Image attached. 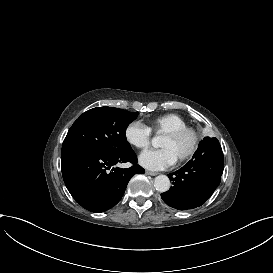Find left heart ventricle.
Instances as JSON below:
<instances>
[{
  "mask_svg": "<svg viewBox=\"0 0 273 273\" xmlns=\"http://www.w3.org/2000/svg\"><path fill=\"white\" fill-rule=\"evenodd\" d=\"M159 146L162 148H168L176 160H179L190 146V136L187 134L180 137H166L162 135Z\"/></svg>",
  "mask_w": 273,
  "mask_h": 273,
  "instance_id": "1",
  "label": "left heart ventricle"
}]
</instances>
